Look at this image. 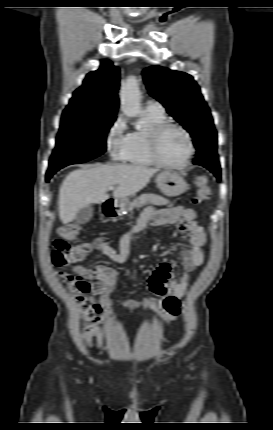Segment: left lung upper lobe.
Listing matches in <instances>:
<instances>
[{"label": "left lung upper lobe", "instance_id": "obj_1", "mask_svg": "<svg viewBox=\"0 0 273 430\" xmlns=\"http://www.w3.org/2000/svg\"><path fill=\"white\" fill-rule=\"evenodd\" d=\"M143 76L150 95L192 135L197 157L216 152L217 134L211 113L193 77L160 66L145 69Z\"/></svg>", "mask_w": 273, "mask_h": 430}]
</instances>
